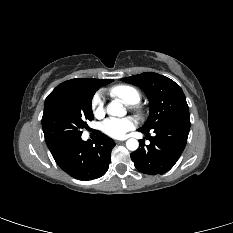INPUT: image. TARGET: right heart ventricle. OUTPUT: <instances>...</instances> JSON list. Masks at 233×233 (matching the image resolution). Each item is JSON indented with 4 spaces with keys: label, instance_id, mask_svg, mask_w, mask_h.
I'll use <instances>...</instances> for the list:
<instances>
[{
    "label": "right heart ventricle",
    "instance_id": "1",
    "mask_svg": "<svg viewBox=\"0 0 233 233\" xmlns=\"http://www.w3.org/2000/svg\"><path fill=\"white\" fill-rule=\"evenodd\" d=\"M110 94L128 105L137 104L141 100V92L136 87L127 84L113 86L110 88Z\"/></svg>",
    "mask_w": 233,
    "mask_h": 233
}]
</instances>
